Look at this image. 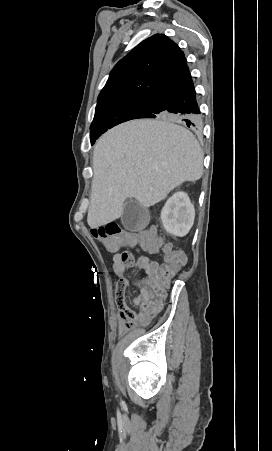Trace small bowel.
Returning a JSON list of instances; mask_svg holds the SVG:
<instances>
[{
	"label": "small bowel",
	"instance_id": "small-bowel-1",
	"mask_svg": "<svg viewBox=\"0 0 272 451\" xmlns=\"http://www.w3.org/2000/svg\"><path fill=\"white\" fill-rule=\"evenodd\" d=\"M145 251L148 252V249H144ZM139 252V250H137ZM139 256H145L142 254H139ZM117 277V283H116V287H115V293H116V301H117V306H118V314H117V326H118V330L121 333V326H122V322H121V311H133L126 303V293H127V289H128V280L125 277V274H115ZM133 303L137 304L138 303V299H133ZM138 320H143L146 315H147V311H145V313H138Z\"/></svg>",
	"mask_w": 272,
	"mask_h": 451
}]
</instances>
